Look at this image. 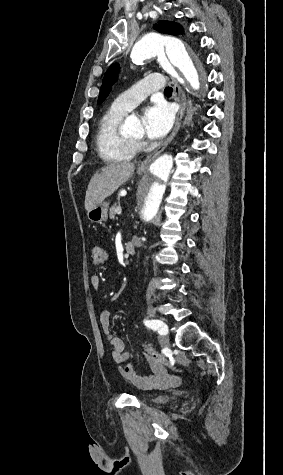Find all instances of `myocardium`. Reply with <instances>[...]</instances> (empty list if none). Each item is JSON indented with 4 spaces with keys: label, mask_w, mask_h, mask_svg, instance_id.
<instances>
[{
    "label": "myocardium",
    "mask_w": 283,
    "mask_h": 475,
    "mask_svg": "<svg viewBox=\"0 0 283 475\" xmlns=\"http://www.w3.org/2000/svg\"><path fill=\"white\" fill-rule=\"evenodd\" d=\"M128 141L130 142V145L133 149L137 148V145L141 142L142 138H138V139H133V138H129L127 137Z\"/></svg>",
    "instance_id": "myocardium-1"
}]
</instances>
